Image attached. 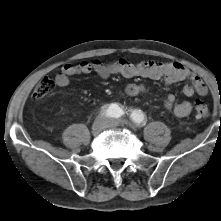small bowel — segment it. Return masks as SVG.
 <instances>
[{
	"label": "small bowel",
	"mask_w": 221,
	"mask_h": 221,
	"mask_svg": "<svg viewBox=\"0 0 221 221\" xmlns=\"http://www.w3.org/2000/svg\"><path fill=\"white\" fill-rule=\"evenodd\" d=\"M91 73L97 74L102 79H107L112 75H121L127 78L144 77L152 80H162L166 84L188 81L189 84L182 89L184 96L193 97L208 94L205 82L195 72L179 63L155 62L152 60L131 62L126 58H117L113 61L104 62L95 59L77 64H66L55 76V82L59 87H67L72 76ZM144 91L145 86L142 84L130 83L124 88V94L128 97L138 96ZM164 106L166 110L181 118L190 115L193 109L192 103L189 101L177 103L175 95L171 93L167 94Z\"/></svg>",
	"instance_id": "obj_1"
}]
</instances>
